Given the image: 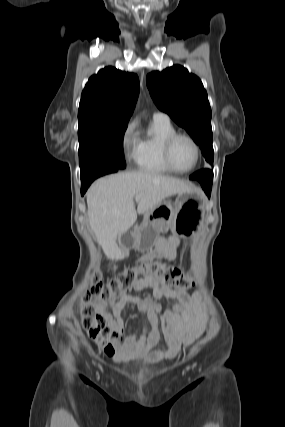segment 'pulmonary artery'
Masks as SVG:
<instances>
[{
  "label": "pulmonary artery",
  "mask_w": 285,
  "mask_h": 427,
  "mask_svg": "<svg viewBox=\"0 0 285 427\" xmlns=\"http://www.w3.org/2000/svg\"><path fill=\"white\" fill-rule=\"evenodd\" d=\"M153 117H155V118H162V119H169V116L166 113L160 112V111L155 112L153 114Z\"/></svg>",
  "instance_id": "obj_1"
}]
</instances>
